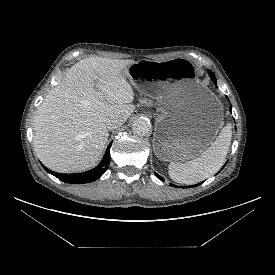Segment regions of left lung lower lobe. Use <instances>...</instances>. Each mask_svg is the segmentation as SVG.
Listing matches in <instances>:
<instances>
[{
	"label": "left lung lower lobe",
	"mask_w": 275,
	"mask_h": 275,
	"mask_svg": "<svg viewBox=\"0 0 275 275\" xmlns=\"http://www.w3.org/2000/svg\"><path fill=\"white\" fill-rule=\"evenodd\" d=\"M211 79L214 81V83H215V85H216V78H215V76H214L213 73H211ZM230 111H231V106H230ZM155 175H156L160 180L164 181V179H163L161 176H159L158 174H155ZM199 184H201V183H199ZM199 184L192 185V186H188V187L184 186V187H181V188H189V187H193V186H198ZM171 185H172V184H171ZM172 186H175V185H172Z\"/></svg>",
	"instance_id": "left-lung-lower-lobe-1"
}]
</instances>
